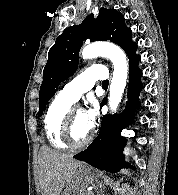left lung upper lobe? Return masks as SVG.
Instances as JSON below:
<instances>
[{
    "mask_svg": "<svg viewBox=\"0 0 178 195\" xmlns=\"http://www.w3.org/2000/svg\"><path fill=\"white\" fill-rule=\"evenodd\" d=\"M109 40L124 49L129 59L136 56V44L124 17L114 9L101 8L97 18L90 14L80 25H74L59 35L50 48L39 92V114L55 94L59 84L77 70L78 53L83 41Z\"/></svg>",
    "mask_w": 178,
    "mask_h": 195,
    "instance_id": "obj_1",
    "label": "left lung upper lobe"
}]
</instances>
